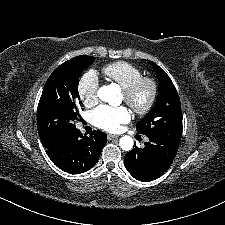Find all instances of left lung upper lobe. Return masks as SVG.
Returning <instances> with one entry per match:
<instances>
[{"label": "left lung upper lobe", "instance_id": "1", "mask_svg": "<svg viewBox=\"0 0 225 225\" xmlns=\"http://www.w3.org/2000/svg\"><path fill=\"white\" fill-rule=\"evenodd\" d=\"M147 61L158 77L159 91L156 105L137 123L136 130L146 136H164L180 143L182 114L179 95L167 73L154 62Z\"/></svg>", "mask_w": 225, "mask_h": 225}]
</instances>
